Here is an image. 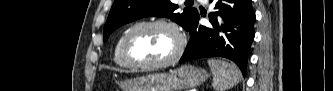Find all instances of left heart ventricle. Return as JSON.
<instances>
[{"mask_svg":"<svg viewBox=\"0 0 333 91\" xmlns=\"http://www.w3.org/2000/svg\"><path fill=\"white\" fill-rule=\"evenodd\" d=\"M177 46V38L166 27H147L137 31L130 40V54L140 62L154 63L168 59Z\"/></svg>","mask_w":333,"mask_h":91,"instance_id":"1","label":"left heart ventricle"}]
</instances>
